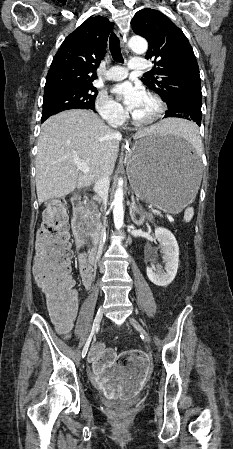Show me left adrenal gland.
I'll use <instances>...</instances> for the list:
<instances>
[{
	"label": "left adrenal gland",
	"instance_id": "obj_1",
	"mask_svg": "<svg viewBox=\"0 0 233 449\" xmlns=\"http://www.w3.org/2000/svg\"><path fill=\"white\" fill-rule=\"evenodd\" d=\"M132 198V203L130 205V216L131 219L133 220V222L136 225H141L144 221V212L141 206L136 205L134 196L131 197ZM136 214L140 215L139 220L136 219Z\"/></svg>",
	"mask_w": 233,
	"mask_h": 449
}]
</instances>
